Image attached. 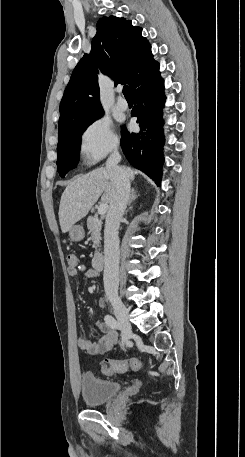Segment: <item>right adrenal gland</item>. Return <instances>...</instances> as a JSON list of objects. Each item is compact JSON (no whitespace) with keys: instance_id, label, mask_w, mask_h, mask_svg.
<instances>
[{"instance_id":"2a0ac1e0","label":"right adrenal gland","mask_w":245,"mask_h":457,"mask_svg":"<svg viewBox=\"0 0 245 457\" xmlns=\"http://www.w3.org/2000/svg\"><path fill=\"white\" fill-rule=\"evenodd\" d=\"M130 192H131V194H130V198L128 200L129 206H130L132 200H135V198H137V196H139V194H136L135 188H131Z\"/></svg>"}]
</instances>
